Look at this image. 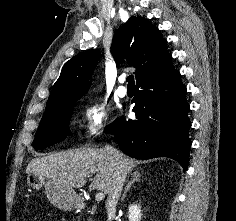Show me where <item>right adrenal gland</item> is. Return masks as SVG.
Returning <instances> with one entry per match:
<instances>
[{"label":"right adrenal gland","instance_id":"right-adrenal-gland-1","mask_svg":"<svg viewBox=\"0 0 236 221\" xmlns=\"http://www.w3.org/2000/svg\"><path fill=\"white\" fill-rule=\"evenodd\" d=\"M140 177H141V174L138 171H135V172L131 173V180L128 181V183H127V185L125 187L124 193H123V195L121 197V201H124V199L126 197V194H127L128 190L131 188V186L135 182L140 181Z\"/></svg>","mask_w":236,"mask_h":221}]
</instances>
